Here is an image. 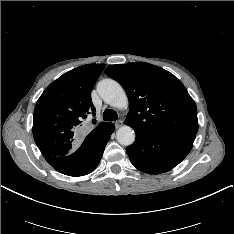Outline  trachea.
<instances>
[{
	"label": "trachea",
	"instance_id": "1",
	"mask_svg": "<svg viewBox=\"0 0 234 234\" xmlns=\"http://www.w3.org/2000/svg\"><path fill=\"white\" fill-rule=\"evenodd\" d=\"M117 118H118L117 113L112 109H106L103 113V119L105 121H115L117 120Z\"/></svg>",
	"mask_w": 234,
	"mask_h": 234
}]
</instances>
